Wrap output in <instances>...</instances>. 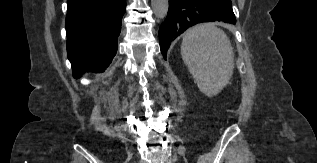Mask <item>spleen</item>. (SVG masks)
Masks as SVG:
<instances>
[{"label": "spleen", "mask_w": 317, "mask_h": 163, "mask_svg": "<svg viewBox=\"0 0 317 163\" xmlns=\"http://www.w3.org/2000/svg\"><path fill=\"white\" fill-rule=\"evenodd\" d=\"M181 55L199 90L209 97L217 95L233 74L234 53L230 40L213 23L187 30Z\"/></svg>", "instance_id": "1"}]
</instances>
